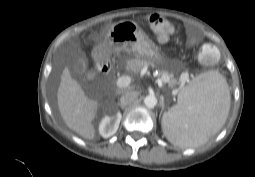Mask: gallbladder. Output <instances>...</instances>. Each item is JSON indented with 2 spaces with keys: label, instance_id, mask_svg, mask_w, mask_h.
<instances>
[{
  "label": "gallbladder",
  "instance_id": "obj_1",
  "mask_svg": "<svg viewBox=\"0 0 255 177\" xmlns=\"http://www.w3.org/2000/svg\"><path fill=\"white\" fill-rule=\"evenodd\" d=\"M71 70L74 74L84 75L87 72V59L84 52L74 54L71 61Z\"/></svg>",
  "mask_w": 255,
  "mask_h": 177
}]
</instances>
